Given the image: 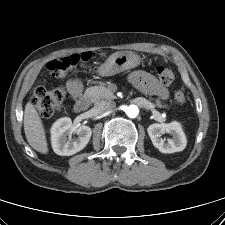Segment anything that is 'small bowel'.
<instances>
[{
  "label": "small bowel",
  "instance_id": "obj_1",
  "mask_svg": "<svg viewBox=\"0 0 225 225\" xmlns=\"http://www.w3.org/2000/svg\"><path fill=\"white\" fill-rule=\"evenodd\" d=\"M131 83L141 92L149 95L158 96L161 99L168 97V90L154 75L147 71L137 70L130 75ZM84 88L81 78H71L66 83V89L73 101H77Z\"/></svg>",
  "mask_w": 225,
  "mask_h": 225
}]
</instances>
